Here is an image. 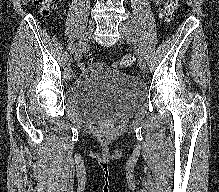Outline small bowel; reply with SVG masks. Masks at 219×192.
I'll return each instance as SVG.
<instances>
[{"label":"small bowel","instance_id":"obj_1","mask_svg":"<svg viewBox=\"0 0 219 192\" xmlns=\"http://www.w3.org/2000/svg\"><path fill=\"white\" fill-rule=\"evenodd\" d=\"M153 1L156 5H160L162 3V0H153Z\"/></svg>","mask_w":219,"mask_h":192}]
</instances>
